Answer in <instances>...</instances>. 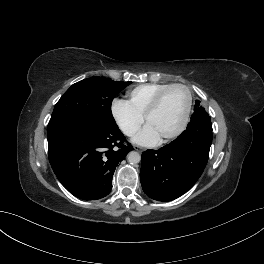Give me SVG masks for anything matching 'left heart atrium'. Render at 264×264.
Instances as JSON below:
<instances>
[{"mask_svg": "<svg viewBox=\"0 0 264 264\" xmlns=\"http://www.w3.org/2000/svg\"><path fill=\"white\" fill-rule=\"evenodd\" d=\"M160 135L150 125L146 124L143 129L136 135L134 142L144 146H152L160 141Z\"/></svg>", "mask_w": 264, "mask_h": 264, "instance_id": "1", "label": "left heart atrium"}]
</instances>
